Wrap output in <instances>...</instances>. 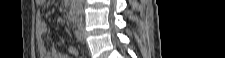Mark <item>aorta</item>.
Segmentation results:
<instances>
[{"instance_id":"aorta-1","label":"aorta","mask_w":225,"mask_h":58,"mask_svg":"<svg viewBox=\"0 0 225 58\" xmlns=\"http://www.w3.org/2000/svg\"><path fill=\"white\" fill-rule=\"evenodd\" d=\"M81 0H77V3L75 4V9L77 11V13H81Z\"/></svg>"}]
</instances>
